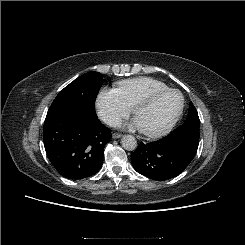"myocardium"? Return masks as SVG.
<instances>
[{
  "label": "myocardium",
  "instance_id": "1",
  "mask_svg": "<svg viewBox=\"0 0 245 245\" xmlns=\"http://www.w3.org/2000/svg\"><path fill=\"white\" fill-rule=\"evenodd\" d=\"M171 92L177 93L181 99V104H180V107H179L177 113L172 118V120L163 128L156 130V131H142V133L145 136H147L149 138H158V137H162V136L168 134L175 127V125L177 124V122L179 121V119L181 118V116L183 114L184 107H185V98H184V96L180 90L175 89V88H166L163 90L154 91V92H151L147 95H144L141 98H139L138 100H136L134 102V104L132 105V107H131L132 114L135 116L136 111L140 106L147 105L150 102H152L153 100H155L156 98H158L164 94L171 93Z\"/></svg>",
  "mask_w": 245,
  "mask_h": 245
}]
</instances>
